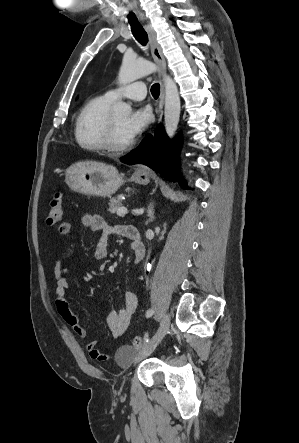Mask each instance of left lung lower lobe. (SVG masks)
<instances>
[{"label": "left lung lower lobe", "mask_w": 299, "mask_h": 443, "mask_svg": "<svg viewBox=\"0 0 299 443\" xmlns=\"http://www.w3.org/2000/svg\"><path fill=\"white\" fill-rule=\"evenodd\" d=\"M180 142L179 137L170 142L162 125H158L154 137L147 135L137 148L121 157L120 161L125 164H145L173 181L177 174ZM181 186L185 188L186 184L181 183Z\"/></svg>", "instance_id": "0a47b994"}]
</instances>
